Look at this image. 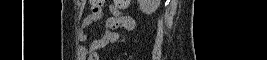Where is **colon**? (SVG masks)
Returning <instances> with one entry per match:
<instances>
[{
	"label": "colon",
	"mask_w": 267,
	"mask_h": 60,
	"mask_svg": "<svg viewBox=\"0 0 267 60\" xmlns=\"http://www.w3.org/2000/svg\"><path fill=\"white\" fill-rule=\"evenodd\" d=\"M104 2L105 1H103V0H91L90 3L92 5V12L93 13L99 12L103 7ZM129 2H130L129 0H116V1H114V3L117 4L119 7H122L123 5H125ZM110 25L112 28L117 29L119 27H123L124 23L120 22V21H113L110 23Z\"/></svg>",
	"instance_id": "1"
}]
</instances>
